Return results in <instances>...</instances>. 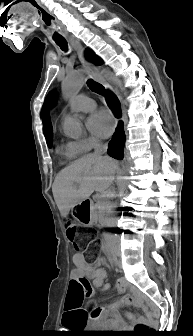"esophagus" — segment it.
Returning <instances> with one entry per match:
<instances>
[{"label":"esophagus","mask_w":193,"mask_h":336,"mask_svg":"<svg viewBox=\"0 0 193 336\" xmlns=\"http://www.w3.org/2000/svg\"><path fill=\"white\" fill-rule=\"evenodd\" d=\"M72 44L77 51L78 58L81 62L82 67L88 71L93 79L102 84L105 89L112 91V87L99 76L97 68L86 59L84 48L82 47L80 41L78 39H74L72 40Z\"/></svg>","instance_id":"34e87169"}]
</instances>
